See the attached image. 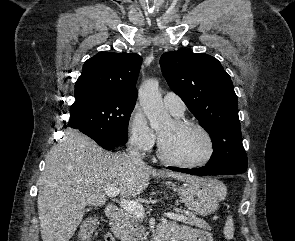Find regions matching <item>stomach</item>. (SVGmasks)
Segmentation results:
<instances>
[{"label": "stomach", "mask_w": 295, "mask_h": 241, "mask_svg": "<svg viewBox=\"0 0 295 241\" xmlns=\"http://www.w3.org/2000/svg\"><path fill=\"white\" fill-rule=\"evenodd\" d=\"M167 185L181 195L192 213L201 216L214 213L227 192L225 185L215 179L194 180L178 186L167 182Z\"/></svg>", "instance_id": "stomach-1"}]
</instances>
